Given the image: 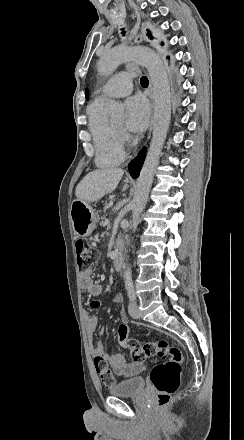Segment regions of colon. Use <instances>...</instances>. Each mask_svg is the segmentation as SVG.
<instances>
[{"label": "colon", "instance_id": "1", "mask_svg": "<svg viewBox=\"0 0 244 440\" xmlns=\"http://www.w3.org/2000/svg\"><path fill=\"white\" fill-rule=\"evenodd\" d=\"M75 250L76 263L81 270H85L87 266L95 264L99 259V250L94 246H90L89 242L84 239H78L76 241ZM128 327L127 324H122L119 328L120 343L124 349L129 351L130 357L135 363L140 364L148 357L168 360L165 363L157 364L151 375L156 390L158 409L166 410L171 396L179 386L180 380L177 373L181 370L178 365L183 362V353L179 348L170 345L165 340L141 345L134 339L127 337ZM94 366L97 373L101 376L103 383L107 385H113L115 383V376L110 370L105 358L96 356L94 358Z\"/></svg>", "mask_w": 244, "mask_h": 440}]
</instances>
